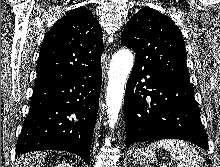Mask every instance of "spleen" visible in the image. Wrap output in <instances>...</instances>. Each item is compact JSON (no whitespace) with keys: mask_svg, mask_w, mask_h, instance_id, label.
I'll list each match as a JSON object with an SVG mask.
<instances>
[{"mask_svg":"<svg viewBox=\"0 0 220 167\" xmlns=\"http://www.w3.org/2000/svg\"><path fill=\"white\" fill-rule=\"evenodd\" d=\"M164 148L170 153L172 160L177 163L176 167H202L203 160L197 150L188 142L177 139H163L151 143L146 150Z\"/></svg>","mask_w":220,"mask_h":167,"instance_id":"spleen-1","label":"spleen"}]
</instances>
